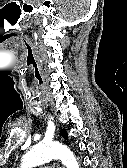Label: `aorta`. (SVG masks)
<instances>
[{"label": "aorta", "mask_w": 127, "mask_h": 168, "mask_svg": "<svg viewBox=\"0 0 127 168\" xmlns=\"http://www.w3.org/2000/svg\"><path fill=\"white\" fill-rule=\"evenodd\" d=\"M52 159L61 160L66 168H80L74 154L60 143H39L23 157L21 168H33Z\"/></svg>", "instance_id": "aorta-1"}]
</instances>
